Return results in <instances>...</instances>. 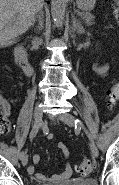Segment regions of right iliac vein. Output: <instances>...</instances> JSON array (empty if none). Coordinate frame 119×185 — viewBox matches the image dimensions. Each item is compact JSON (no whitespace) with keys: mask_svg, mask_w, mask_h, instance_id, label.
I'll return each instance as SVG.
<instances>
[{"mask_svg":"<svg viewBox=\"0 0 119 185\" xmlns=\"http://www.w3.org/2000/svg\"><path fill=\"white\" fill-rule=\"evenodd\" d=\"M34 113H37V116H36V118H33V120H34V126L33 127L39 129V127L41 126V123H42V111H41L40 107L36 106L35 110H34ZM34 113H33V115H34ZM21 162H22L23 166L27 165L28 156L26 154H24V156L22 157Z\"/></svg>","mask_w":119,"mask_h":185,"instance_id":"obj_1","label":"right iliac vein"}]
</instances>
